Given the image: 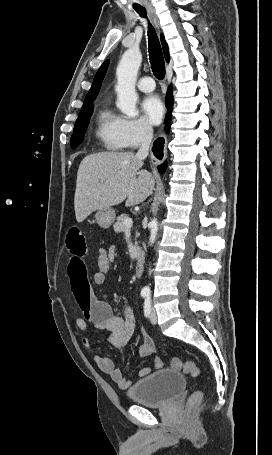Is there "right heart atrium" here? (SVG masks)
<instances>
[{
    "instance_id": "right-heart-atrium-1",
    "label": "right heart atrium",
    "mask_w": 272,
    "mask_h": 455,
    "mask_svg": "<svg viewBox=\"0 0 272 455\" xmlns=\"http://www.w3.org/2000/svg\"><path fill=\"white\" fill-rule=\"evenodd\" d=\"M120 133L125 147L136 148L152 136L150 125L141 118H121Z\"/></svg>"
}]
</instances>
